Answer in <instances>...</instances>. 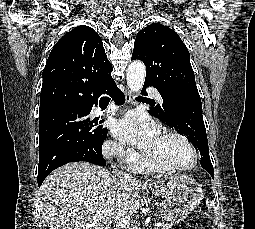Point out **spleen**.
<instances>
[{"label": "spleen", "mask_w": 255, "mask_h": 229, "mask_svg": "<svg viewBox=\"0 0 255 229\" xmlns=\"http://www.w3.org/2000/svg\"><path fill=\"white\" fill-rule=\"evenodd\" d=\"M206 206H207L208 209H211L212 206H213V202L211 200H207L206 201Z\"/></svg>", "instance_id": "spleen-1"}]
</instances>
